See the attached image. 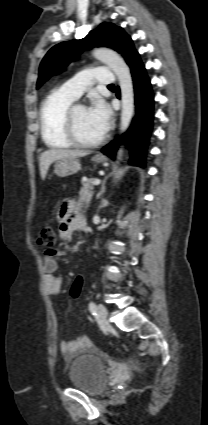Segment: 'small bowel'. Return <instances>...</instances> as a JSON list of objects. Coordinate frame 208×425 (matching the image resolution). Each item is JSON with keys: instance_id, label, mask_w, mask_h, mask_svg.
<instances>
[{"instance_id": "c3829d8e", "label": "small bowel", "mask_w": 208, "mask_h": 425, "mask_svg": "<svg viewBox=\"0 0 208 425\" xmlns=\"http://www.w3.org/2000/svg\"><path fill=\"white\" fill-rule=\"evenodd\" d=\"M59 235L65 240L72 239L76 230L85 228L86 221L84 216L76 209L75 204L71 200H67L59 210ZM57 251H47L43 259V268L45 271V288L49 295H57L61 292L63 279L61 276L55 275L57 270V262L54 256L58 255ZM91 346L90 339L83 335L73 341H62L60 350L65 356H73L81 349Z\"/></svg>"}]
</instances>
